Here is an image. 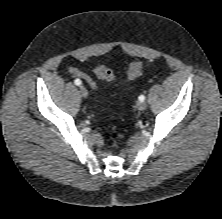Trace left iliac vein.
Masks as SVG:
<instances>
[{"mask_svg":"<svg viewBox=\"0 0 222 219\" xmlns=\"http://www.w3.org/2000/svg\"><path fill=\"white\" fill-rule=\"evenodd\" d=\"M136 107L139 109V110H145L147 108V103L145 101H139L137 104H136Z\"/></svg>","mask_w":222,"mask_h":219,"instance_id":"left-iliac-vein-1","label":"left iliac vein"}]
</instances>
